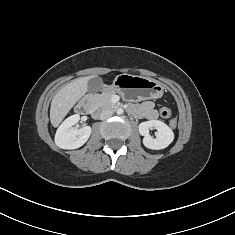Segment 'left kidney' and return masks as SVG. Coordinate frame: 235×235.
Returning <instances> with one entry per match:
<instances>
[{"label":"left kidney","mask_w":235,"mask_h":235,"mask_svg":"<svg viewBox=\"0 0 235 235\" xmlns=\"http://www.w3.org/2000/svg\"><path fill=\"white\" fill-rule=\"evenodd\" d=\"M156 129L155 138L149 134V129ZM139 132L145 147L153 150L164 149L174 140V133L168 125L160 120H150L139 124Z\"/></svg>","instance_id":"left-kidney-1"}]
</instances>
